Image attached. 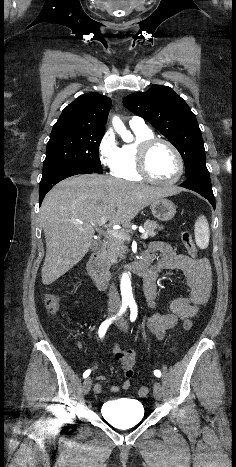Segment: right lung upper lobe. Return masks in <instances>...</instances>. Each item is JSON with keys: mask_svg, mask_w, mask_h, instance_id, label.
<instances>
[{"mask_svg": "<svg viewBox=\"0 0 236 467\" xmlns=\"http://www.w3.org/2000/svg\"><path fill=\"white\" fill-rule=\"evenodd\" d=\"M111 100L99 94H84L69 104L53 128L104 131Z\"/></svg>", "mask_w": 236, "mask_h": 467, "instance_id": "cb5924a9", "label": "right lung upper lobe"}]
</instances>
